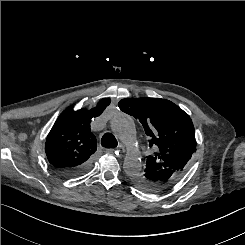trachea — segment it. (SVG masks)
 Listing matches in <instances>:
<instances>
[{"label":"trachea","instance_id":"obj_1","mask_svg":"<svg viewBox=\"0 0 245 245\" xmlns=\"http://www.w3.org/2000/svg\"><path fill=\"white\" fill-rule=\"evenodd\" d=\"M117 144L115 136L111 133H105L101 139V145L105 148H115Z\"/></svg>","mask_w":245,"mask_h":245}]
</instances>
